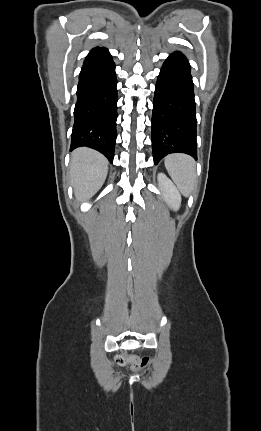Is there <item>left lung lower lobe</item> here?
Segmentation results:
<instances>
[{"instance_id": "obj_1", "label": "left lung lower lobe", "mask_w": 261, "mask_h": 431, "mask_svg": "<svg viewBox=\"0 0 261 431\" xmlns=\"http://www.w3.org/2000/svg\"><path fill=\"white\" fill-rule=\"evenodd\" d=\"M152 149L157 164L170 153L197 159L196 112L190 65L180 52L164 62L157 79L152 113Z\"/></svg>"}]
</instances>
